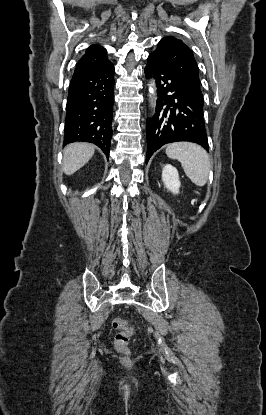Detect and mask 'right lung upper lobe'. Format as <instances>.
Returning <instances> with one entry per match:
<instances>
[{"label": "right lung upper lobe", "instance_id": "obj_1", "mask_svg": "<svg viewBox=\"0 0 266 415\" xmlns=\"http://www.w3.org/2000/svg\"><path fill=\"white\" fill-rule=\"evenodd\" d=\"M106 49L99 45H91L76 66L73 77H79L106 68L110 65Z\"/></svg>", "mask_w": 266, "mask_h": 415}]
</instances>
